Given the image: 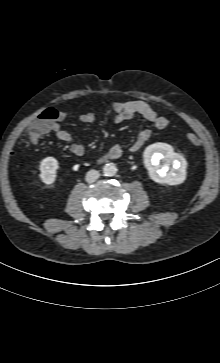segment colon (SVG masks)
I'll use <instances>...</instances> for the list:
<instances>
[{
  "label": "colon",
  "mask_w": 220,
  "mask_h": 363,
  "mask_svg": "<svg viewBox=\"0 0 220 363\" xmlns=\"http://www.w3.org/2000/svg\"><path fill=\"white\" fill-rule=\"evenodd\" d=\"M58 117L59 113L53 107H48L42 110L39 115L29 124L26 133L27 139L30 141H35L42 135L49 132L53 123L58 120ZM186 138L192 145L200 144V139L195 133H188Z\"/></svg>",
  "instance_id": "obj_1"
}]
</instances>
